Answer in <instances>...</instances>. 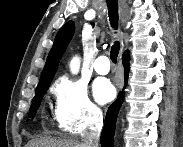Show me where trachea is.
I'll use <instances>...</instances> for the list:
<instances>
[{
  "mask_svg": "<svg viewBox=\"0 0 183 147\" xmlns=\"http://www.w3.org/2000/svg\"><path fill=\"white\" fill-rule=\"evenodd\" d=\"M108 14L111 27L117 29L118 27V2L117 0H107ZM120 45L119 42H115L110 51V58L113 63L117 62Z\"/></svg>",
  "mask_w": 183,
  "mask_h": 147,
  "instance_id": "3493384b",
  "label": "trachea"
}]
</instances>
